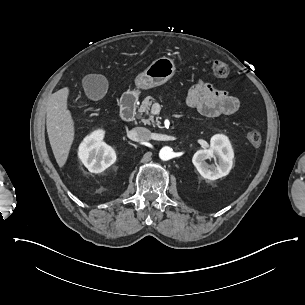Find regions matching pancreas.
Returning a JSON list of instances; mask_svg holds the SVG:
<instances>
[{"label": "pancreas", "instance_id": "cf45deb5", "mask_svg": "<svg viewBox=\"0 0 305 305\" xmlns=\"http://www.w3.org/2000/svg\"><path fill=\"white\" fill-rule=\"evenodd\" d=\"M153 103H157L156 99H152L151 96H148L144 99L141 106L139 107L137 118L141 119L143 123L155 124V120H154L155 114L153 112H149L151 105ZM144 112H147L146 114L147 118H142Z\"/></svg>", "mask_w": 305, "mask_h": 305}]
</instances>
